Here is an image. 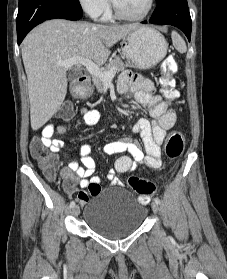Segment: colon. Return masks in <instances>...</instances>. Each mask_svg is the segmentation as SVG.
<instances>
[{
    "instance_id": "obj_1",
    "label": "colon",
    "mask_w": 227,
    "mask_h": 279,
    "mask_svg": "<svg viewBox=\"0 0 227 279\" xmlns=\"http://www.w3.org/2000/svg\"><path fill=\"white\" fill-rule=\"evenodd\" d=\"M178 70V65L173 57H166L161 63V72L158 76L161 94L169 100L178 98L179 93L176 89V80L174 74ZM62 118H69L73 113V108L70 105L64 104L60 110ZM184 136L179 131H173L169 134L165 143V154L169 159H177L181 156L184 149ZM30 155L35 159L41 169L48 178H53L55 175V157L48 152L44 146L43 139L32 140L29 147ZM129 187L137 194L140 203L145 204L150 197L155 194L156 187L151 181L138 177L130 176L128 178ZM99 185L91 184L89 187L90 193L97 192ZM77 197L86 198L88 195L84 192H79Z\"/></svg>"
}]
</instances>
